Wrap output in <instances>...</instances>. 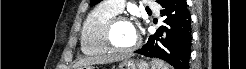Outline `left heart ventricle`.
<instances>
[{
  "label": "left heart ventricle",
  "mask_w": 246,
  "mask_h": 69,
  "mask_svg": "<svg viewBox=\"0 0 246 69\" xmlns=\"http://www.w3.org/2000/svg\"><path fill=\"white\" fill-rule=\"evenodd\" d=\"M137 40L129 21L119 22L112 33V41L118 47H129Z\"/></svg>",
  "instance_id": "obj_1"
}]
</instances>
